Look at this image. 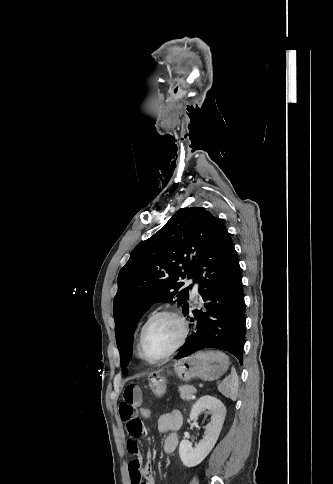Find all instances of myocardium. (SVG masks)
Instances as JSON below:
<instances>
[{"label": "myocardium", "mask_w": 333, "mask_h": 484, "mask_svg": "<svg viewBox=\"0 0 333 484\" xmlns=\"http://www.w3.org/2000/svg\"><path fill=\"white\" fill-rule=\"evenodd\" d=\"M160 317H171V318L175 319L180 325L181 334H180V337L177 340V342L174 344V346L167 353H165L164 355H162L159 358L152 359V358L148 357L144 352V348H143L144 337H145V334H146L148 327L156 319H158ZM189 332H190L189 322L187 321L186 317L184 315H182L180 312H178L177 310L163 309V310L157 311V312L153 313L146 320V322L143 324V326L140 330V334H139V338H138V344H137L138 354L140 355V357L142 359H144L145 361H147L149 363H160V362L168 359L172 355H174L184 345V343L186 342V340L189 336Z\"/></svg>", "instance_id": "myocardium-1"}]
</instances>
